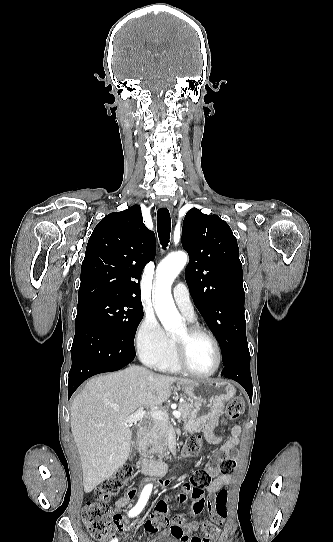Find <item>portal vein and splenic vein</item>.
Listing matches in <instances>:
<instances>
[{
    "mask_svg": "<svg viewBox=\"0 0 333 542\" xmlns=\"http://www.w3.org/2000/svg\"><path fill=\"white\" fill-rule=\"evenodd\" d=\"M150 416V418H153V420H164V418H167L166 412H159V410H152V412H145L144 408H138L137 412L135 414H132V416H128V418H125L123 420V424H126V426H130V424H137V422H141L143 418H146V416ZM172 416L174 418H181V412H172Z\"/></svg>",
    "mask_w": 333,
    "mask_h": 542,
    "instance_id": "obj_1",
    "label": "portal vein and splenic vein"
}]
</instances>
